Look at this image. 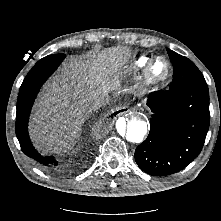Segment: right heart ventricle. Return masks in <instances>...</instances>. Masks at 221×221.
Listing matches in <instances>:
<instances>
[{"label":"right heart ventricle","mask_w":221,"mask_h":221,"mask_svg":"<svg viewBox=\"0 0 221 221\" xmlns=\"http://www.w3.org/2000/svg\"><path fill=\"white\" fill-rule=\"evenodd\" d=\"M149 61L150 58L148 56H141L140 58H138L136 64L139 68L144 69L149 63Z\"/></svg>","instance_id":"1"}]
</instances>
